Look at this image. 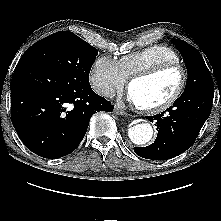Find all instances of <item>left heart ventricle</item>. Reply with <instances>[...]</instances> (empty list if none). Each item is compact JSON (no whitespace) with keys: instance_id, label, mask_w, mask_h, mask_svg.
<instances>
[{"instance_id":"left-heart-ventricle-1","label":"left heart ventricle","mask_w":221,"mask_h":221,"mask_svg":"<svg viewBox=\"0 0 221 221\" xmlns=\"http://www.w3.org/2000/svg\"><path fill=\"white\" fill-rule=\"evenodd\" d=\"M181 73L177 69L132 83L130 90L138 105L154 106L167 100L178 88Z\"/></svg>"}]
</instances>
